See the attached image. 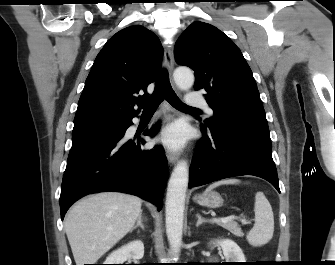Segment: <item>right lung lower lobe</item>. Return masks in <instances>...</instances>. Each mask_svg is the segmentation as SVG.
<instances>
[{
    "mask_svg": "<svg viewBox=\"0 0 335 265\" xmlns=\"http://www.w3.org/2000/svg\"><path fill=\"white\" fill-rule=\"evenodd\" d=\"M132 120L118 135H101L72 142L60 195L61 219L81 197L102 191H119L139 196L162 208L167 179L163 148L142 150L140 138H124ZM159 127L144 135L154 136Z\"/></svg>",
    "mask_w": 335,
    "mask_h": 265,
    "instance_id": "98d812e1",
    "label": "right lung lower lobe"
}]
</instances>
